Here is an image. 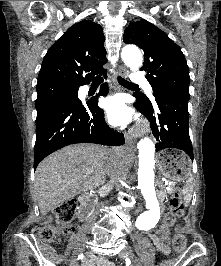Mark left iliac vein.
Masks as SVG:
<instances>
[{
  "instance_id": "4c4485c4",
  "label": "left iliac vein",
  "mask_w": 221,
  "mask_h": 266,
  "mask_svg": "<svg viewBox=\"0 0 221 266\" xmlns=\"http://www.w3.org/2000/svg\"><path fill=\"white\" fill-rule=\"evenodd\" d=\"M121 257H128L133 266H141V262L139 258L130 250V249H125L121 254Z\"/></svg>"
}]
</instances>
